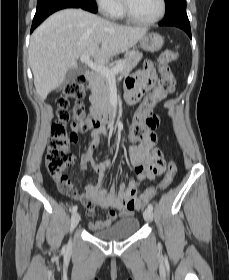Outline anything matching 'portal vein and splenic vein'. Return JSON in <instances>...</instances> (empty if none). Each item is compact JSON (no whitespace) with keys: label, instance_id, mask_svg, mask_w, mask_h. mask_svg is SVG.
Listing matches in <instances>:
<instances>
[{"label":"portal vein and splenic vein","instance_id":"18ae733b","mask_svg":"<svg viewBox=\"0 0 229 280\" xmlns=\"http://www.w3.org/2000/svg\"><path fill=\"white\" fill-rule=\"evenodd\" d=\"M80 59L89 68H91L92 70L104 75L109 80H115L116 74L118 72H120L124 67V62H121L113 68H108V67L104 66L103 64L91 61L89 55H82L80 57Z\"/></svg>","mask_w":229,"mask_h":280}]
</instances>
